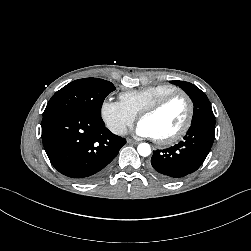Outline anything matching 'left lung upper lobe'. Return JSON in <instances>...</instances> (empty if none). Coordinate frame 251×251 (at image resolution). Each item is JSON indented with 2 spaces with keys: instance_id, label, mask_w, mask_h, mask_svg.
Instances as JSON below:
<instances>
[{
  "instance_id": "5c2ea615",
  "label": "left lung upper lobe",
  "mask_w": 251,
  "mask_h": 251,
  "mask_svg": "<svg viewBox=\"0 0 251 251\" xmlns=\"http://www.w3.org/2000/svg\"><path fill=\"white\" fill-rule=\"evenodd\" d=\"M177 83L190 94L194 103V113L191 124L201 120L215 121V116L207 96L194 84L185 81H177Z\"/></svg>"
}]
</instances>
